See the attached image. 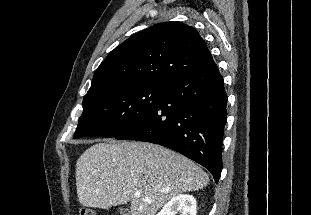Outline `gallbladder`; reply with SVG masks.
Wrapping results in <instances>:
<instances>
[{
	"label": "gallbladder",
	"mask_w": 311,
	"mask_h": 215,
	"mask_svg": "<svg viewBox=\"0 0 311 215\" xmlns=\"http://www.w3.org/2000/svg\"><path fill=\"white\" fill-rule=\"evenodd\" d=\"M119 212L121 215H130L129 210L127 208H124V207L120 208Z\"/></svg>",
	"instance_id": "obj_1"
}]
</instances>
